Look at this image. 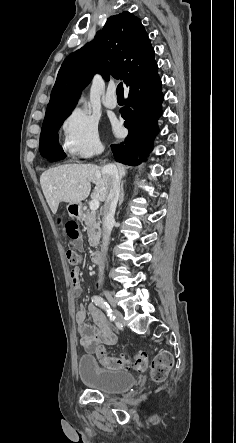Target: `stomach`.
<instances>
[{"label": "stomach", "mask_w": 236, "mask_h": 443, "mask_svg": "<svg viewBox=\"0 0 236 443\" xmlns=\"http://www.w3.org/2000/svg\"><path fill=\"white\" fill-rule=\"evenodd\" d=\"M81 209H82L81 204L69 203L67 206L68 214L71 217H79L81 215Z\"/></svg>", "instance_id": "stomach-1"}]
</instances>
